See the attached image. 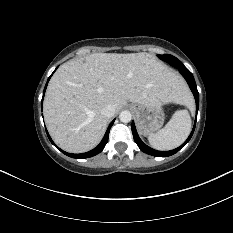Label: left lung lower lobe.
I'll use <instances>...</instances> for the list:
<instances>
[{
	"label": "left lung lower lobe",
	"instance_id": "1",
	"mask_svg": "<svg viewBox=\"0 0 233 233\" xmlns=\"http://www.w3.org/2000/svg\"><path fill=\"white\" fill-rule=\"evenodd\" d=\"M174 67H176L177 69H179L180 73L182 74V76L186 79L187 83L189 84V87L191 89V91L193 92V95L195 97V101H196V114L198 112V108H199V93L196 87V83L194 80V77L192 75V73L181 63H175ZM197 118V116H196ZM195 125H196V120L194 123V127L193 130L191 132V134L189 135V137L187 138V140L178 148L173 149L171 151H157L154 150L150 147H148L147 145H145L141 139L139 138L134 122H132V133H133V137L135 142L137 143L138 147L145 153L152 155V156H157V157H167V156H171L173 154H175L176 152H178L186 143H188V141L191 139L194 129H195Z\"/></svg>",
	"mask_w": 233,
	"mask_h": 233
}]
</instances>
